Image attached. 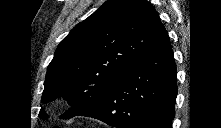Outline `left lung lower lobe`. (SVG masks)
<instances>
[{
    "label": "left lung lower lobe",
    "mask_w": 221,
    "mask_h": 128,
    "mask_svg": "<svg viewBox=\"0 0 221 128\" xmlns=\"http://www.w3.org/2000/svg\"><path fill=\"white\" fill-rule=\"evenodd\" d=\"M176 96V65L164 30L102 100L76 116L116 128H171Z\"/></svg>",
    "instance_id": "1"
}]
</instances>
